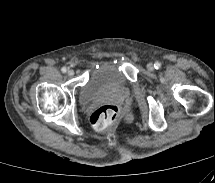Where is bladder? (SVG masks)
<instances>
[{
  "instance_id": "31cf9c89",
  "label": "bladder",
  "mask_w": 215,
  "mask_h": 183,
  "mask_svg": "<svg viewBox=\"0 0 215 183\" xmlns=\"http://www.w3.org/2000/svg\"><path fill=\"white\" fill-rule=\"evenodd\" d=\"M126 85V78L120 65L112 60H102L93 65L87 82L79 92V102L88 105L107 90L117 89Z\"/></svg>"
}]
</instances>
